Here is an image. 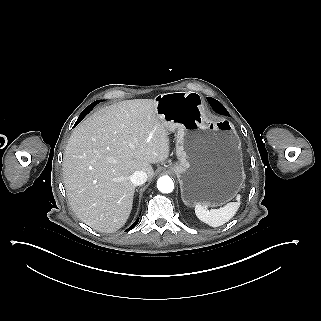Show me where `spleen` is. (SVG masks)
<instances>
[{
    "label": "spleen",
    "instance_id": "spleen-1",
    "mask_svg": "<svg viewBox=\"0 0 321 321\" xmlns=\"http://www.w3.org/2000/svg\"><path fill=\"white\" fill-rule=\"evenodd\" d=\"M241 195L236 196V202H229L219 209L207 210L200 203L195 206V214L199 220L211 227H219L234 217L241 204Z\"/></svg>",
    "mask_w": 321,
    "mask_h": 321
}]
</instances>
